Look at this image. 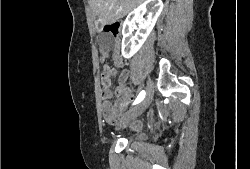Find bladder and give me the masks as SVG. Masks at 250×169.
<instances>
[{
	"instance_id": "bladder-1",
	"label": "bladder",
	"mask_w": 250,
	"mask_h": 169,
	"mask_svg": "<svg viewBox=\"0 0 250 169\" xmlns=\"http://www.w3.org/2000/svg\"><path fill=\"white\" fill-rule=\"evenodd\" d=\"M148 138V133H137V131L131 133L127 139L132 145H142Z\"/></svg>"
}]
</instances>
